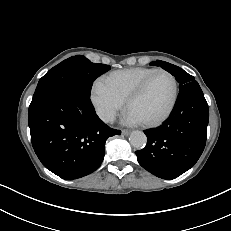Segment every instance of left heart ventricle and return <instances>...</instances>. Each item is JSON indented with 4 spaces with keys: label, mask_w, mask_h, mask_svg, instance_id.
Here are the masks:
<instances>
[{
    "label": "left heart ventricle",
    "mask_w": 231,
    "mask_h": 231,
    "mask_svg": "<svg viewBox=\"0 0 231 231\" xmlns=\"http://www.w3.org/2000/svg\"><path fill=\"white\" fill-rule=\"evenodd\" d=\"M173 91L171 78L164 73H158L152 77L141 96L132 102L128 111L141 122L154 120L168 109Z\"/></svg>",
    "instance_id": "left-heart-ventricle-1"
}]
</instances>
